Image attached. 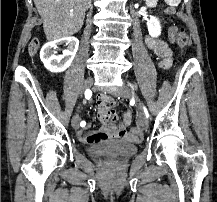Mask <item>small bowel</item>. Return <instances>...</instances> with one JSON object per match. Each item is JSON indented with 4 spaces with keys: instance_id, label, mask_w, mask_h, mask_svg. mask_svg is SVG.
Listing matches in <instances>:
<instances>
[{
    "instance_id": "1",
    "label": "small bowel",
    "mask_w": 217,
    "mask_h": 202,
    "mask_svg": "<svg viewBox=\"0 0 217 202\" xmlns=\"http://www.w3.org/2000/svg\"><path fill=\"white\" fill-rule=\"evenodd\" d=\"M146 43L150 50H152L158 57L161 58L160 66L164 69L170 67L172 63V52L167 44L157 38L147 37ZM106 96L100 95L98 101L95 102L96 109H98L99 121L104 122L103 127L99 131L90 130L88 133L82 131L77 132V137L81 142L97 144L107 138L125 140L129 142H138L142 137V131H129V126L132 122L133 111L126 110L123 113L122 121L115 124L116 121V105L115 101H99V99ZM101 109V113H99Z\"/></svg>"
}]
</instances>
